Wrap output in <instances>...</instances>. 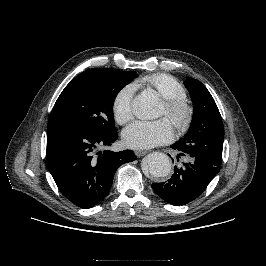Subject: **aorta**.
<instances>
[{
	"label": "aorta",
	"instance_id": "obj_1",
	"mask_svg": "<svg viewBox=\"0 0 266 266\" xmlns=\"http://www.w3.org/2000/svg\"><path fill=\"white\" fill-rule=\"evenodd\" d=\"M132 112L139 119H151L158 116L159 98L153 92L144 91L132 103ZM144 166L153 177H166L171 171L169 157L161 152H152L146 159Z\"/></svg>",
	"mask_w": 266,
	"mask_h": 266
}]
</instances>
